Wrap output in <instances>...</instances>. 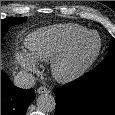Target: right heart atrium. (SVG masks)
Masks as SVG:
<instances>
[{"mask_svg": "<svg viewBox=\"0 0 115 115\" xmlns=\"http://www.w3.org/2000/svg\"><path fill=\"white\" fill-rule=\"evenodd\" d=\"M16 60L21 67L26 70L36 72L38 70L36 61L25 51H18L16 53Z\"/></svg>", "mask_w": 115, "mask_h": 115, "instance_id": "1", "label": "right heart atrium"}]
</instances>
